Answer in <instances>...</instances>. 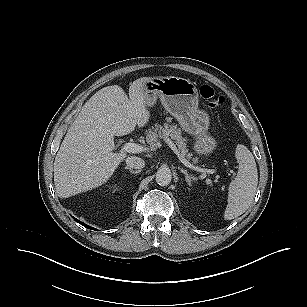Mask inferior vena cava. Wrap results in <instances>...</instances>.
<instances>
[{
  "mask_svg": "<svg viewBox=\"0 0 307 307\" xmlns=\"http://www.w3.org/2000/svg\"><path fill=\"white\" fill-rule=\"evenodd\" d=\"M126 164L130 168L139 170L145 166V161L140 157L130 156L126 158Z\"/></svg>",
  "mask_w": 307,
  "mask_h": 307,
  "instance_id": "inferior-vena-cava-1",
  "label": "inferior vena cava"
}]
</instances>
